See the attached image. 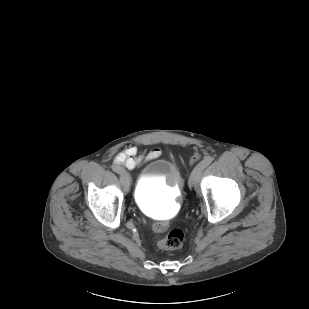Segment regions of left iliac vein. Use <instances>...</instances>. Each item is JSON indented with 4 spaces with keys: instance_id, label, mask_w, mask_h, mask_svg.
<instances>
[{
    "instance_id": "left-iliac-vein-1",
    "label": "left iliac vein",
    "mask_w": 309,
    "mask_h": 309,
    "mask_svg": "<svg viewBox=\"0 0 309 309\" xmlns=\"http://www.w3.org/2000/svg\"><path fill=\"white\" fill-rule=\"evenodd\" d=\"M202 171L197 172L195 174L194 178H190V180H189V186L194 187L196 191L199 190V180H200V176H201Z\"/></svg>"
}]
</instances>
